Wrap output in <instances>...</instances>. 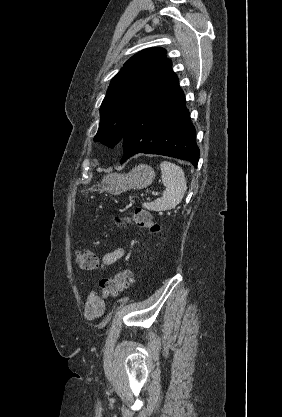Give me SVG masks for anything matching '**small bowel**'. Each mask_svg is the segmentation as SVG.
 Instances as JSON below:
<instances>
[{"label":"small bowel","instance_id":"small-bowel-1","mask_svg":"<svg viewBox=\"0 0 282 417\" xmlns=\"http://www.w3.org/2000/svg\"><path fill=\"white\" fill-rule=\"evenodd\" d=\"M125 253L124 248H118L106 253L101 262L106 264V267L114 265ZM105 311L104 302L101 300L97 292L93 291L88 295L85 303L84 316L87 320H95L103 315Z\"/></svg>","mask_w":282,"mask_h":417}]
</instances>
